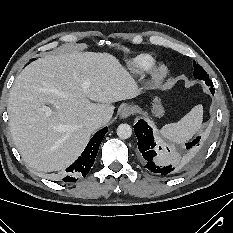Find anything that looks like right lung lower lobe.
I'll return each mask as SVG.
<instances>
[{"instance_id": "1", "label": "right lung lower lobe", "mask_w": 233, "mask_h": 233, "mask_svg": "<svg viewBox=\"0 0 233 233\" xmlns=\"http://www.w3.org/2000/svg\"><path fill=\"white\" fill-rule=\"evenodd\" d=\"M107 131L108 127H105L91 138L81 156L72 165L66 168V175L63 178L64 182L77 181L79 177H84L89 173V170L92 167L97 155L99 146Z\"/></svg>"}]
</instances>
